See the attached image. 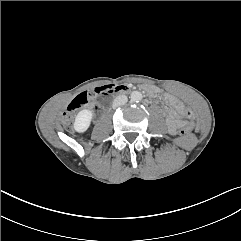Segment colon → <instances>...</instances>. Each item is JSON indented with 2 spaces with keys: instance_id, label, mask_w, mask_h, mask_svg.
<instances>
[{
  "instance_id": "colon-1",
  "label": "colon",
  "mask_w": 241,
  "mask_h": 241,
  "mask_svg": "<svg viewBox=\"0 0 241 241\" xmlns=\"http://www.w3.org/2000/svg\"><path fill=\"white\" fill-rule=\"evenodd\" d=\"M108 86L104 87H97L92 90L86 91L81 93L79 96H77L71 104L68 106L66 112L64 113V121L68 123L71 120L72 114L74 111L79 109L80 107L84 106L86 103H88L90 100L98 96L99 94H102L103 92H106ZM186 117L189 118L187 121V125L185 128L181 130L182 135H186L189 132H193L195 130V119L193 118V113L190 110L186 111Z\"/></svg>"
}]
</instances>
